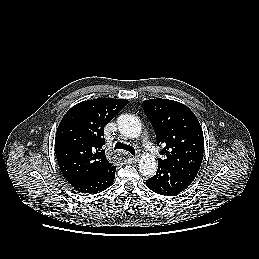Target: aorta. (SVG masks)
Here are the masks:
<instances>
[{
  "instance_id": "aorta-1",
  "label": "aorta",
  "mask_w": 259,
  "mask_h": 259,
  "mask_svg": "<svg viewBox=\"0 0 259 259\" xmlns=\"http://www.w3.org/2000/svg\"><path fill=\"white\" fill-rule=\"evenodd\" d=\"M120 133L130 139L138 138L142 132L140 120L131 114H122L117 119ZM139 172L143 176L152 177L157 171V163L153 157L144 155L139 160Z\"/></svg>"
}]
</instances>
